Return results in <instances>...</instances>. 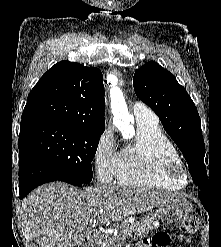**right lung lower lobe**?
<instances>
[{
    "mask_svg": "<svg viewBox=\"0 0 221 247\" xmlns=\"http://www.w3.org/2000/svg\"><path fill=\"white\" fill-rule=\"evenodd\" d=\"M63 181L75 186L84 183L75 181L48 162L31 154H19V194L23 199L37 186L52 182Z\"/></svg>",
    "mask_w": 221,
    "mask_h": 247,
    "instance_id": "obj_1",
    "label": "right lung lower lobe"
}]
</instances>
